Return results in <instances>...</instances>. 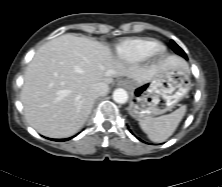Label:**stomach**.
<instances>
[{"label":"stomach","instance_id":"0dacf381","mask_svg":"<svg viewBox=\"0 0 222 187\" xmlns=\"http://www.w3.org/2000/svg\"><path fill=\"white\" fill-rule=\"evenodd\" d=\"M191 88L186 67H167L157 72L150 81L131 83L129 114L142 120L172 110Z\"/></svg>","mask_w":222,"mask_h":187}]
</instances>
